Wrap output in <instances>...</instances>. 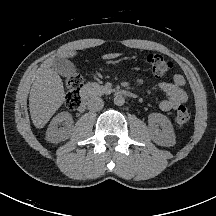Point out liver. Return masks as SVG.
<instances>
[{"mask_svg":"<svg viewBox=\"0 0 216 216\" xmlns=\"http://www.w3.org/2000/svg\"><path fill=\"white\" fill-rule=\"evenodd\" d=\"M76 52H64L61 57H73ZM121 53H111L102 56L103 59H113ZM54 59L49 58L37 69L35 80L30 90L29 108L34 126L43 128L53 114L65 101V91L62 79L58 73L51 68Z\"/></svg>","mask_w":216,"mask_h":216,"instance_id":"6515ba94","label":"liver"}]
</instances>
